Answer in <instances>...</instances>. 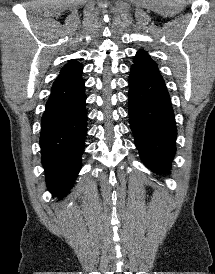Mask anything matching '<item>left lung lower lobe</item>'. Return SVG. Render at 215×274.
<instances>
[{"instance_id": "left-lung-lower-lobe-1", "label": "left lung lower lobe", "mask_w": 215, "mask_h": 274, "mask_svg": "<svg viewBox=\"0 0 215 274\" xmlns=\"http://www.w3.org/2000/svg\"><path fill=\"white\" fill-rule=\"evenodd\" d=\"M128 99L130 127L141 160L153 171L169 170L176 152L177 129L160 73L131 66Z\"/></svg>"}]
</instances>
